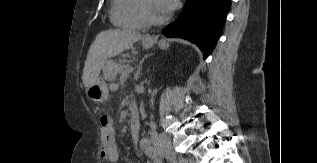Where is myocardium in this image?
Masks as SVG:
<instances>
[{
  "label": "myocardium",
  "instance_id": "1",
  "mask_svg": "<svg viewBox=\"0 0 317 163\" xmlns=\"http://www.w3.org/2000/svg\"><path fill=\"white\" fill-rule=\"evenodd\" d=\"M139 9L142 17L144 20L151 25H161L164 24L165 22L168 21L169 16L166 15L165 17L162 18H156L154 17L151 12L149 11L146 1L145 0H139Z\"/></svg>",
  "mask_w": 317,
  "mask_h": 163
}]
</instances>
